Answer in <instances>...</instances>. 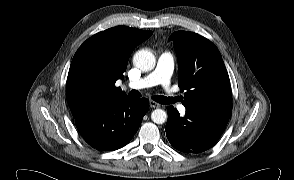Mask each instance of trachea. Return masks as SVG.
<instances>
[{"label":"trachea","mask_w":294,"mask_h":180,"mask_svg":"<svg viewBox=\"0 0 294 180\" xmlns=\"http://www.w3.org/2000/svg\"><path fill=\"white\" fill-rule=\"evenodd\" d=\"M129 96L131 98H139V97H141V93L137 90H132L129 93ZM152 99L158 103H161V104H172L176 101V98L159 96V95L153 96Z\"/></svg>","instance_id":"trachea-1"}]
</instances>
